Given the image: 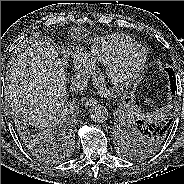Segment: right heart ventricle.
<instances>
[{
	"mask_svg": "<svg viewBox=\"0 0 184 184\" xmlns=\"http://www.w3.org/2000/svg\"><path fill=\"white\" fill-rule=\"evenodd\" d=\"M133 45H135V41L128 36L121 34L111 35L97 42L86 55L92 63L106 64Z\"/></svg>",
	"mask_w": 184,
	"mask_h": 184,
	"instance_id": "e07e8e85",
	"label": "right heart ventricle"
}]
</instances>
